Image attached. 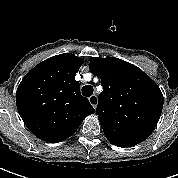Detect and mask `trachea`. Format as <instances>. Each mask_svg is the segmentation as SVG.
<instances>
[{"label": "trachea", "instance_id": "3493384b", "mask_svg": "<svg viewBox=\"0 0 178 178\" xmlns=\"http://www.w3.org/2000/svg\"><path fill=\"white\" fill-rule=\"evenodd\" d=\"M93 87L91 85H85L82 87V95L85 97H90L93 94Z\"/></svg>", "mask_w": 178, "mask_h": 178}]
</instances>
